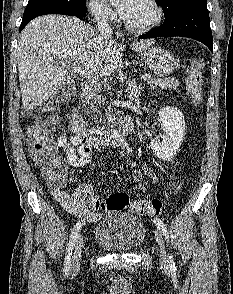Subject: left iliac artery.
Returning <instances> with one entry per match:
<instances>
[{
	"label": "left iliac artery",
	"mask_w": 233,
	"mask_h": 294,
	"mask_svg": "<svg viewBox=\"0 0 233 294\" xmlns=\"http://www.w3.org/2000/svg\"><path fill=\"white\" fill-rule=\"evenodd\" d=\"M154 223L159 228V230L162 231L163 235L165 236V238H166V240L168 242L169 241V235H168V231H167L166 226L164 225L163 221L160 220L159 218H154ZM169 263H170L171 268H176L174 258H173L172 255L169 256Z\"/></svg>",
	"instance_id": "44dca946"
}]
</instances>
